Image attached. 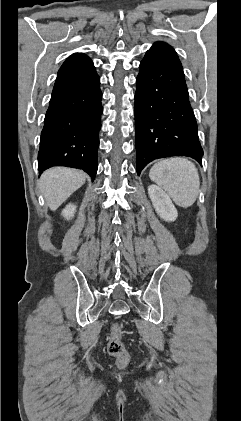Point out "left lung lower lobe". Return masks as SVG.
Returning <instances> with one entry per match:
<instances>
[{"label": "left lung lower lobe", "instance_id": "obj_1", "mask_svg": "<svg viewBox=\"0 0 241 421\" xmlns=\"http://www.w3.org/2000/svg\"><path fill=\"white\" fill-rule=\"evenodd\" d=\"M139 68L134 109L138 175L158 158L184 155L201 164L197 122L175 50L156 42Z\"/></svg>", "mask_w": 241, "mask_h": 421}]
</instances>
